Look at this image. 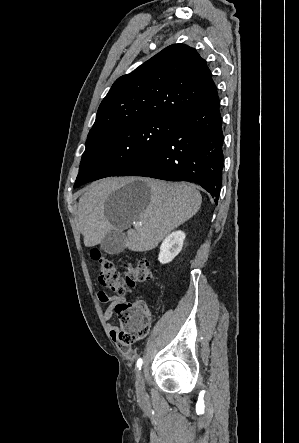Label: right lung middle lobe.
I'll return each instance as SVG.
<instances>
[{
  "instance_id": "obj_1",
  "label": "right lung middle lobe",
  "mask_w": 299,
  "mask_h": 443,
  "mask_svg": "<svg viewBox=\"0 0 299 443\" xmlns=\"http://www.w3.org/2000/svg\"><path fill=\"white\" fill-rule=\"evenodd\" d=\"M175 128L173 117L140 119L105 130L86 141L74 188L118 176L148 156Z\"/></svg>"
}]
</instances>
